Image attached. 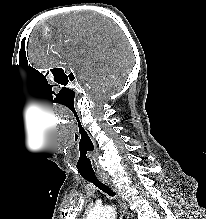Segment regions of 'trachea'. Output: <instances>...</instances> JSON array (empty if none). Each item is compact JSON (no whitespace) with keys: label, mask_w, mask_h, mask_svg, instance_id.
Segmentation results:
<instances>
[{"label":"trachea","mask_w":206,"mask_h":219,"mask_svg":"<svg viewBox=\"0 0 206 219\" xmlns=\"http://www.w3.org/2000/svg\"><path fill=\"white\" fill-rule=\"evenodd\" d=\"M82 177L87 181L93 183L96 187H98L100 190H102L104 193L108 194L109 196L113 197L115 195L113 190L109 186L101 182L95 174L82 175ZM123 219L126 218L123 217Z\"/></svg>","instance_id":"1"}]
</instances>
